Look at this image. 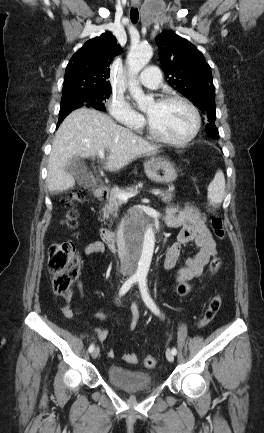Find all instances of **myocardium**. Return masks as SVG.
Returning <instances> with one entry per match:
<instances>
[{
	"mask_svg": "<svg viewBox=\"0 0 264 433\" xmlns=\"http://www.w3.org/2000/svg\"><path fill=\"white\" fill-rule=\"evenodd\" d=\"M157 103L159 104H169V103H180L183 104L184 106H186L192 113L193 118H194V125L193 128L191 130V132L184 138L179 139V140H175V139H171L168 138L164 135H162L161 133H159L151 124L150 120L148 119V117L146 118V127H147V131L149 133V135L154 138L155 140L171 145V146H175V147H183L186 146L187 144H189L199 133L200 127H201V116L200 113L198 111V109L196 108V106L191 103L189 100H187L184 97L181 96H177V95H171V96H165L160 98Z\"/></svg>",
	"mask_w": 264,
	"mask_h": 433,
	"instance_id": "myocardium-1",
	"label": "myocardium"
}]
</instances>
